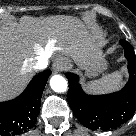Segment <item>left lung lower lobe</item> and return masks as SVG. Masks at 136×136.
<instances>
[{"label":"left lung lower lobe","instance_id":"0a47b994","mask_svg":"<svg viewBox=\"0 0 136 136\" xmlns=\"http://www.w3.org/2000/svg\"><path fill=\"white\" fill-rule=\"evenodd\" d=\"M120 44L124 48L130 73L129 81L120 91L88 95L82 90L78 77L67 74L69 105L81 124L89 129H116L136 111V56L129 42L120 40Z\"/></svg>","mask_w":136,"mask_h":136}]
</instances>
